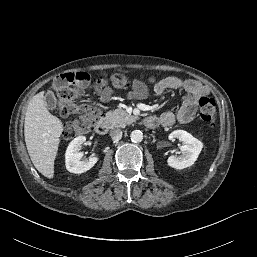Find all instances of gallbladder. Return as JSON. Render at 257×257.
<instances>
[{"mask_svg":"<svg viewBox=\"0 0 257 257\" xmlns=\"http://www.w3.org/2000/svg\"><path fill=\"white\" fill-rule=\"evenodd\" d=\"M44 100L46 103V106L50 109V110H54L57 107V98L55 97L53 91L48 90L44 96Z\"/></svg>","mask_w":257,"mask_h":257,"instance_id":"bac80fb5","label":"gallbladder"}]
</instances>
